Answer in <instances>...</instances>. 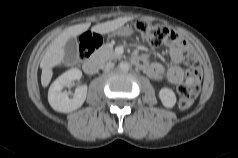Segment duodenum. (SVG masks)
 Instances as JSON below:
<instances>
[{"mask_svg": "<svg viewBox=\"0 0 238 158\" xmlns=\"http://www.w3.org/2000/svg\"><path fill=\"white\" fill-rule=\"evenodd\" d=\"M133 63L139 67V68H146L147 67V62L145 59L140 58V57H136L133 59ZM99 69V65L98 62L95 60H87L84 64H83V70L86 74L88 75H93L95 74Z\"/></svg>", "mask_w": 238, "mask_h": 158, "instance_id": "410a0bca", "label": "duodenum"}]
</instances>
